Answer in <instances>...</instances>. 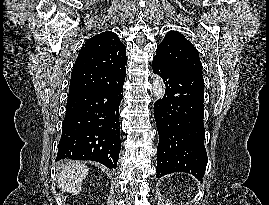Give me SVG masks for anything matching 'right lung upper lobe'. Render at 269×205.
I'll return each mask as SVG.
<instances>
[{"label":"right lung upper lobe","mask_w":269,"mask_h":205,"mask_svg":"<svg viewBox=\"0 0 269 205\" xmlns=\"http://www.w3.org/2000/svg\"><path fill=\"white\" fill-rule=\"evenodd\" d=\"M125 45L111 31L90 38L74 63L69 94L118 84L126 74Z\"/></svg>","instance_id":"1"}]
</instances>
